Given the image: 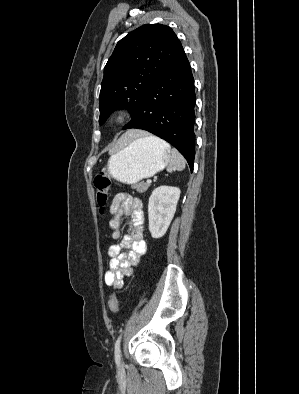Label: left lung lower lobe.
<instances>
[{"label": "left lung lower lobe", "mask_w": 299, "mask_h": 394, "mask_svg": "<svg viewBox=\"0 0 299 394\" xmlns=\"http://www.w3.org/2000/svg\"><path fill=\"white\" fill-rule=\"evenodd\" d=\"M195 102L194 78L183 51L151 84L123 129H143L166 140L186 158L192 171Z\"/></svg>", "instance_id": "0a47b994"}]
</instances>
